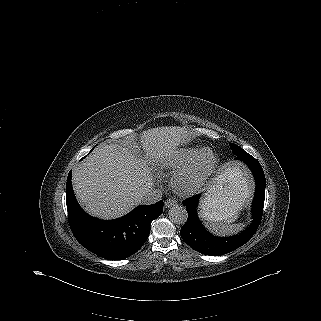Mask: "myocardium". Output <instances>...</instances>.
<instances>
[{
	"mask_svg": "<svg viewBox=\"0 0 321 321\" xmlns=\"http://www.w3.org/2000/svg\"><path fill=\"white\" fill-rule=\"evenodd\" d=\"M204 156H208L206 163H203ZM215 163L216 158L210 148L200 149L192 162L172 177V189L180 195H190L197 192L212 174Z\"/></svg>",
	"mask_w": 321,
	"mask_h": 321,
	"instance_id": "1",
	"label": "myocardium"
}]
</instances>
